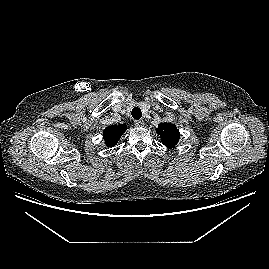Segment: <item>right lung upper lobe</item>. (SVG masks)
I'll return each mask as SVG.
<instances>
[{"label":"right lung upper lobe","mask_w":269,"mask_h":269,"mask_svg":"<svg viewBox=\"0 0 269 269\" xmlns=\"http://www.w3.org/2000/svg\"><path fill=\"white\" fill-rule=\"evenodd\" d=\"M127 125H111L105 128L103 139L108 147H113L117 144L120 137L126 131Z\"/></svg>","instance_id":"1"}]
</instances>
